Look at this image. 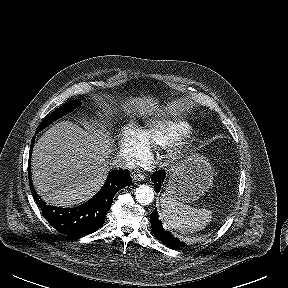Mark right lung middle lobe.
Listing matches in <instances>:
<instances>
[{"label": "right lung middle lobe", "instance_id": "right-lung-middle-lobe-1", "mask_svg": "<svg viewBox=\"0 0 288 288\" xmlns=\"http://www.w3.org/2000/svg\"><path fill=\"white\" fill-rule=\"evenodd\" d=\"M81 105L80 100H72L65 104H63L61 107H59L56 111L51 113L37 128L39 131L45 128L47 125H49L51 122L55 121L56 119L62 117L66 113L70 112L74 108Z\"/></svg>", "mask_w": 288, "mask_h": 288}]
</instances>
